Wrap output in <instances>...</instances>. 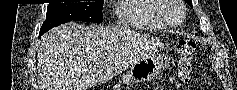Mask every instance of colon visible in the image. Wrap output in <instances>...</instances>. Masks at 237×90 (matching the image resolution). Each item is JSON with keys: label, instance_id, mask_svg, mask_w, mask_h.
<instances>
[{"label": "colon", "instance_id": "5ec220e1", "mask_svg": "<svg viewBox=\"0 0 237 90\" xmlns=\"http://www.w3.org/2000/svg\"><path fill=\"white\" fill-rule=\"evenodd\" d=\"M196 44L189 40H180L177 44V76L180 81H188L192 72Z\"/></svg>", "mask_w": 237, "mask_h": 90}]
</instances>
